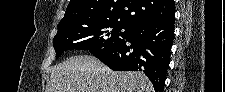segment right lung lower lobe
<instances>
[{
    "instance_id": "1",
    "label": "right lung lower lobe",
    "mask_w": 225,
    "mask_h": 92,
    "mask_svg": "<svg viewBox=\"0 0 225 92\" xmlns=\"http://www.w3.org/2000/svg\"><path fill=\"white\" fill-rule=\"evenodd\" d=\"M174 22L173 17L167 21L141 23L132 27L127 41L92 54L112 70L143 71L155 92H163L174 39Z\"/></svg>"
}]
</instances>
